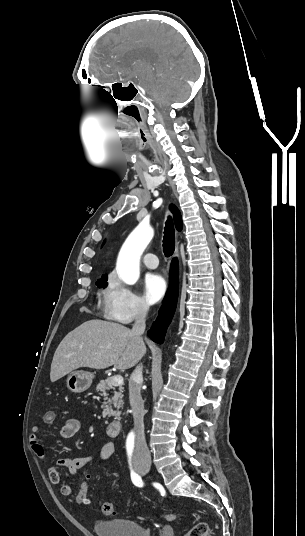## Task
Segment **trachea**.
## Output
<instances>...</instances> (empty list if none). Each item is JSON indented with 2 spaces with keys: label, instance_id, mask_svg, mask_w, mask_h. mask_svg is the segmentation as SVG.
I'll list each match as a JSON object with an SVG mask.
<instances>
[{
  "label": "trachea",
  "instance_id": "3493384b",
  "mask_svg": "<svg viewBox=\"0 0 305 536\" xmlns=\"http://www.w3.org/2000/svg\"><path fill=\"white\" fill-rule=\"evenodd\" d=\"M163 252L169 258L175 251V229L172 218L169 216L165 223L163 236Z\"/></svg>",
  "mask_w": 305,
  "mask_h": 536
}]
</instances>
